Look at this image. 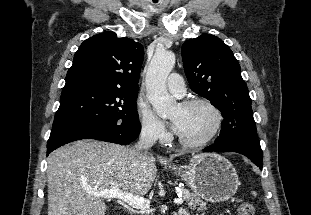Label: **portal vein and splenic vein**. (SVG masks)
Instances as JSON below:
<instances>
[{
  "label": "portal vein and splenic vein",
  "instance_id": "1",
  "mask_svg": "<svg viewBox=\"0 0 311 215\" xmlns=\"http://www.w3.org/2000/svg\"><path fill=\"white\" fill-rule=\"evenodd\" d=\"M94 196L106 198V199H118L126 202L128 205L132 206L133 208L139 209V210H147L150 208V200L135 196L130 193H125L119 189H106L103 191L93 192ZM174 202L176 204H182L183 199L182 197L175 198Z\"/></svg>",
  "mask_w": 311,
  "mask_h": 215
}]
</instances>
